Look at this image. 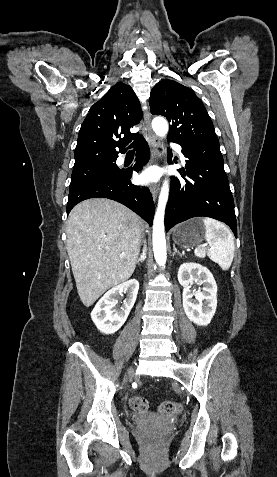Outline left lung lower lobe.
Masks as SVG:
<instances>
[{
	"label": "left lung lower lobe",
	"mask_w": 277,
	"mask_h": 477,
	"mask_svg": "<svg viewBox=\"0 0 277 477\" xmlns=\"http://www.w3.org/2000/svg\"><path fill=\"white\" fill-rule=\"evenodd\" d=\"M176 143L182 146V153L187 158L189 179L183 175L181 179H171L165 213L166 231L189 218L205 216L226 223L237 237L234 201L219 143Z\"/></svg>",
	"instance_id": "obj_1"
}]
</instances>
